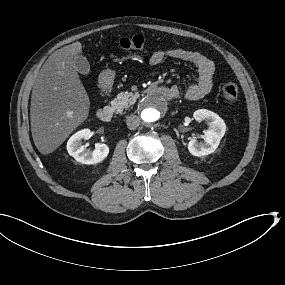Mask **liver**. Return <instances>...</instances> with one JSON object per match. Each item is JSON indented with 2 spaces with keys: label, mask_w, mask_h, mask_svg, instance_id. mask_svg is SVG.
<instances>
[{
  "label": "liver",
  "mask_w": 285,
  "mask_h": 285,
  "mask_svg": "<svg viewBox=\"0 0 285 285\" xmlns=\"http://www.w3.org/2000/svg\"><path fill=\"white\" fill-rule=\"evenodd\" d=\"M82 53L79 41L58 49L36 79L30 121L34 144L42 155L52 154L89 117L91 102L75 65Z\"/></svg>",
  "instance_id": "obj_1"
}]
</instances>
